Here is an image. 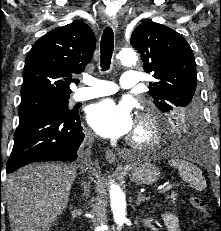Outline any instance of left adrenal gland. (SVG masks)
<instances>
[{
    "label": "left adrenal gland",
    "instance_id": "obj_1",
    "mask_svg": "<svg viewBox=\"0 0 221 231\" xmlns=\"http://www.w3.org/2000/svg\"><path fill=\"white\" fill-rule=\"evenodd\" d=\"M146 200H148V198L142 195L141 192H138V198L136 201V205L139 206L142 202H145Z\"/></svg>",
    "mask_w": 221,
    "mask_h": 231
}]
</instances>
